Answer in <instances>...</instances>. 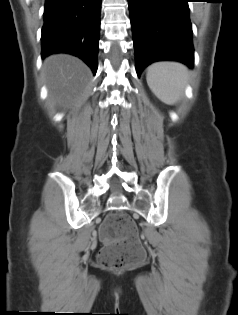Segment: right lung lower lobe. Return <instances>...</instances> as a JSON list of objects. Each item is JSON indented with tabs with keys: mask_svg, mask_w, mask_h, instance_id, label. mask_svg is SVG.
<instances>
[{
	"mask_svg": "<svg viewBox=\"0 0 238 315\" xmlns=\"http://www.w3.org/2000/svg\"><path fill=\"white\" fill-rule=\"evenodd\" d=\"M101 0H45L42 58L69 53L96 74Z\"/></svg>",
	"mask_w": 238,
	"mask_h": 315,
	"instance_id": "98d812e1",
	"label": "right lung lower lobe"
}]
</instances>
